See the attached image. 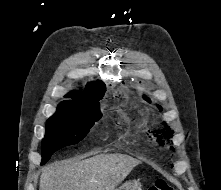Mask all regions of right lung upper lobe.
Segmentation results:
<instances>
[{
	"mask_svg": "<svg viewBox=\"0 0 221 190\" xmlns=\"http://www.w3.org/2000/svg\"><path fill=\"white\" fill-rule=\"evenodd\" d=\"M105 93V85L101 81L87 83L83 92L72 91L65 97L71 98V100L62 101L57 110L64 111L73 109L78 105L99 101Z\"/></svg>",
	"mask_w": 221,
	"mask_h": 190,
	"instance_id": "1",
	"label": "right lung upper lobe"
}]
</instances>
